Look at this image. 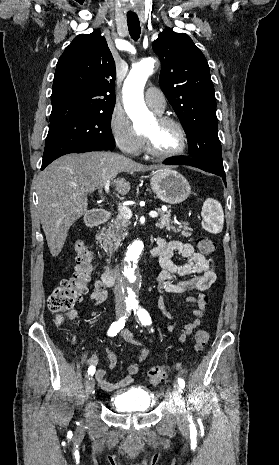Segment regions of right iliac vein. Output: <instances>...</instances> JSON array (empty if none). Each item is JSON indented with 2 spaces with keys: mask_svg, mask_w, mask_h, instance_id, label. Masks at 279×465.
Here are the masks:
<instances>
[{
  "mask_svg": "<svg viewBox=\"0 0 279 465\" xmlns=\"http://www.w3.org/2000/svg\"><path fill=\"white\" fill-rule=\"evenodd\" d=\"M123 312L124 310L121 309V308H118L116 309V317H120L123 315ZM94 386H95V381H94V378L93 376H90L87 381H86V385H85V398H88L90 396V394L92 393L93 389H94Z\"/></svg>",
  "mask_w": 279,
  "mask_h": 465,
  "instance_id": "63e3f726",
  "label": "right iliac vein"
}]
</instances>
